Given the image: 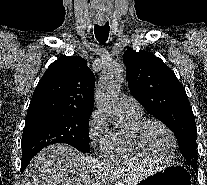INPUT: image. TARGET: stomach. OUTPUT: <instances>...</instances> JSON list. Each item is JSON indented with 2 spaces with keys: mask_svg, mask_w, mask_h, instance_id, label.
Instances as JSON below:
<instances>
[{
  "mask_svg": "<svg viewBox=\"0 0 207 185\" xmlns=\"http://www.w3.org/2000/svg\"><path fill=\"white\" fill-rule=\"evenodd\" d=\"M190 175L181 165H169L166 168L147 176L138 185H190Z\"/></svg>",
  "mask_w": 207,
  "mask_h": 185,
  "instance_id": "stomach-1",
  "label": "stomach"
}]
</instances>
